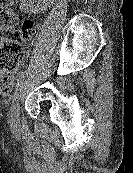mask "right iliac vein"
<instances>
[{
    "mask_svg": "<svg viewBox=\"0 0 133 173\" xmlns=\"http://www.w3.org/2000/svg\"><path fill=\"white\" fill-rule=\"evenodd\" d=\"M23 87H24V84L21 83L13 97L12 106L10 109V116H9V121L12 126H15L18 121L19 103L23 93Z\"/></svg>",
    "mask_w": 133,
    "mask_h": 173,
    "instance_id": "right-iliac-vein-1",
    "label": "right iliac vein"
}]
</instances>
